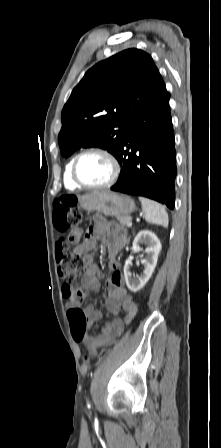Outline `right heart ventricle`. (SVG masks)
Masks as SVG:
<instances>
[{
  "mask_svg": "<svg viewBox=\"0 0 221 448\" xmlns=\"http://www.w3.org/2000/svg\"><path fill=\"white\" fill-rule=\"evenodd\" d=\"M77 155H74L69 162L67 163L65 170H64V175H63V181H64V186L67 189L70 190H75L76 188H80V186H78L77 184H75L71 178V167L73 164L74 159L76 158Z\"/></svg>",
  "mask_w": 221,
  "mask_h": 448,
  "instance_id": "obj_1",
  "label": "right heart ventricle"
}]
</instances>
